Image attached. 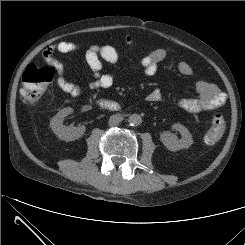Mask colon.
Wrapping results in <instances>:
<instances>
[{
    "label": "colon",
    "mask_w": 245,
    "mask_h": 245,
    "mask_svg": "<svg viewBox=\"0 0 245 245\" xmlns=\"http://www.w3.org/2000/svg\"><path fill=\"white\" fill-rule=\"evenodd\" d=\"M127 43L131 41L127 39ZM53 79V71L49 67H37L35 65H29L22 77V88L20 91L21 97L25 102H36L47 85ZM226 126V119L223 114L216 113L212 117L211 127L205 134V141L208 144H214L222 137Z\"/></svg>",
    "instance_id": "5ec220e1"
}]
</instances>
